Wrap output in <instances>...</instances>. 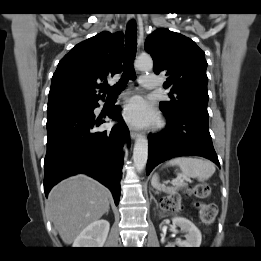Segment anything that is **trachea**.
Segmentation results:
<instances>
[{
	"instance_id": "obj_1",
	"label": "trachea",
	"mask_w": 261,
	"mask_h": 261,
	"mask_svg": "<svg viewBox=\"0 0 261 261\" xmlns=\"http://www.w3.org/2000/svg\"><path fill=\"white\" fill-rule=\"evenodd\" d=\"M137 49V26L134 20H131L126 28L125 35V55L123 60V73L119 82L115 86H107L108 95L119 94L126 86L128 80L135 79V70L133 62Z\"/></svg>"
}]
</instances>
